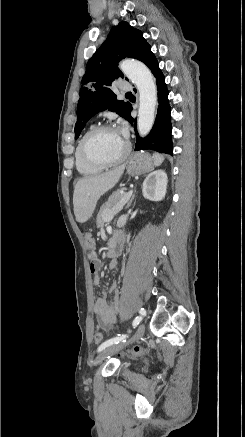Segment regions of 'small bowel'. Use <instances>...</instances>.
Returning a JSON list of instances; mask_svg holds the SVG:
<instances>
[{
	"label": "small bowel",
	"mask_w": 245,
	"mask_h": 437,
	"mask_svg": "<svg viewBox=\"0 0 245 437\" xmlns=\"http://www.w3.org/2000/svg\"><path fill=\"white\" fill-rule=\"evenodd\" d=\"M90 270L93 275L94 284L96 285L99 284L100 262L98 259L94 260V268L92 269L90 267ZM117 289H118L117 283H113L109 288V292L112 295L111 304H109L106 300V292H104L101 297L97 298L94 303V313L97 317L98 324L106 330H110L118 320L120 303L116 295Z\"/></svg>",
	"instance_id": "c3829d8e"
}]
</instances>
